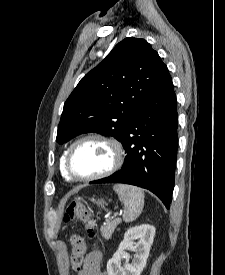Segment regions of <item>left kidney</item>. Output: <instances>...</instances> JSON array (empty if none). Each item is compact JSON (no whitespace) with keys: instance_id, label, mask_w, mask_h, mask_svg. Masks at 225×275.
Here are the masks:
<instances>
[{"instance_id":"left-kidney-1","label":"left kidney","mask_w":225,"mask_h":275,"mask_svg":"<svg viewBox=\"0 0 225 275\" xmlns=\"http://www.w3.org/2000/svg\"><path fill=\"white\" fill-rule=\"evenodd\" d=\"M154 236V226L143 224L130 228L124 234V239L118 250L107 263L108 275H140L146 265ZM135 239H139V241L135 243ZM125 249L134 251L135 255L132 262H127L125 268L121 269L120 263Z\"/></svg>"}]
</instances>
